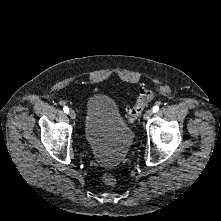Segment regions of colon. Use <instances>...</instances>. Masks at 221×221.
<instances>
[{
    "label": "colon",
    "instance_id": "5ec220e1",
    "mask_svg": "<svg viewBox=\"0 0 221 221\" xmlns=\"http://www.w3.org/2000/svg\"><path fill=\"white\" fill-rule=\"evenodd\" d=\"M155 98V93L151 89L141 88L135 104L128 109L129 120L137 119L145 110L146 105ZM102 181L109 186L116 184L117 179L111 174H104Z\"/></svg>",
    "mask_w": 221,
    "mask_h": 221
}]
</instances>
